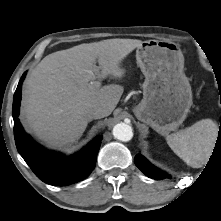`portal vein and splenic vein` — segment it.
Masks as SVG:
<instances>
[{
  "instance_id": "portal-vein-and-splenic-vein-1",
  "label": "portal vein and splenic vein",
  "mask_w": 221,
  "mask_h": 221,
  "mask_svg": "<svg viewBox=\"0 0 221 221\" xmlns=\"http://www.w3.org/2000/svg\"><path fill=\"white\" fill-rule=\"evenodd\" d=\"M91 84H94L95 86L99 87L100 86V81H92Z\"/></svg>"
}]
</instances>
